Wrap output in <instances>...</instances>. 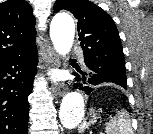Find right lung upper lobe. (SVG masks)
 Wrapping results in <instances>:
<instances>
[{
    "mask_svg": "<svg viewBox=\"0 0 153 134\" xmlns=\"http://www.w3.org/2000/svg\"><path fill=\"white\" fill-rule=\"evenodd\" d=\"M35 22L25 0L0 3V62L36 47Z\"/></svg>",
    "mask_w": 153,
    "mask_h": 134,
    "instance_id": "obj_1",
    "label": "right lung upper lobe"
}]
</instances>
